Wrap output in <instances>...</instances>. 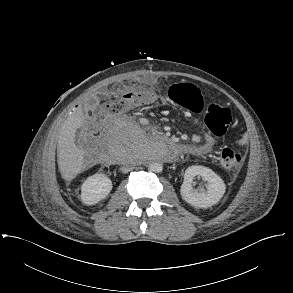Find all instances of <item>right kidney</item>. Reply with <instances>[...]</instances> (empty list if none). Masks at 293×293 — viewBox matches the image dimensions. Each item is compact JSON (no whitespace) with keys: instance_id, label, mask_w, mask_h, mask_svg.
<instances>
[{"instance_id":"right-kidney-1","label":"right kidney","mask_w":293,"mask_h":293,"mask_svg":"<svg viewBox=\"0 0 293 293\" xmlns=\"http://www.w3.org/2000/svg\"><path fill=\"white\" fill-rule=\"evenodd\" d=\"M108 176L96 173L88 177L81 186V200L86 205H95L108 196L112 190Z\"/></svg>"}]
</instances>
